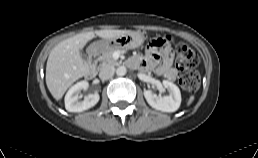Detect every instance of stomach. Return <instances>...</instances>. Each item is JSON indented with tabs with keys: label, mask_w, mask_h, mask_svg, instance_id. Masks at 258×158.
I'll use <instances>...</instances> for the list:
<instances>
[{
	"label": "stomach",
	"mask_w": 258,
	"mask_h": 158,
	"mask_svg": "<svg viewBox=\"0 0 258 158\" xmlns=\"http://www.w3.org/2000/svg\"><path fill=\"white\" fill-rule=\"evenodd\" d=\"M145 36L139 31H132L113 39H102L92 44L97 50L107 51L113 48L134 49L143 44Z\"/></svg>",
	"instance_id": "0dacf381"
}]
</instances>
